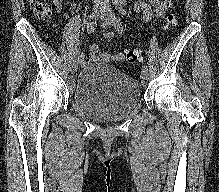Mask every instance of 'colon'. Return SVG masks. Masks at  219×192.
Here are the masks:
<instances>
[{
    "mask_svg": "<svg viewBox=\"0 0 219 192\" xmlns=\"http://www.w3.org/2000/svg\"><path fill=\"white\" fill-rule=\"evenodd\" d=\"M32 8L34 11V14L38 18H48L51 16L53 9L50 3H48L45 0H33ZM175 15L174 13L170 12L167 14L164 20V28L170 29L175 25ZM142 51L138 48L130 49L125 51L122 54L121 60L127 62V63H136L141 59ZM111 56L108 53L103 52L101 55V61L102 62H109L111 61Z\"/></svg>",
    "mask_w": 219,
    "mask_h": 192,
    "instance_id": "1",
    "label": "colon"
}]
</instances>
